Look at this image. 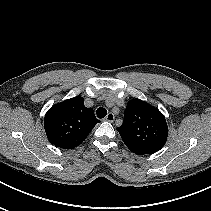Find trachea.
<instances>
[{"label":"trachea","instance_id":"1","mask_svg":"<svg viewBox=\"0 0 211 211\" xmlns=\"http://www.w3.org/2000/svg\"><path fill=\"white\" fill-rule=\"evenodd\" d=\"M96 114L98 118H104L107 114V110L105 108L100 107L97 109Z\"/></svg>","mask_w":211,"mask_h":211}]
</instances>
